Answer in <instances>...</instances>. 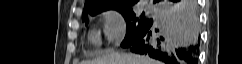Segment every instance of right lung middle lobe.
<instances>
[{"mask_svg": "<svg viewBox=\"0 0 242 64\" xmlns=\"http://www.w3.org/2000/svg\"><path fill=\"white\" fill-rule=\"evenodd\" d=\"M117 11H119L123 15L124 19L127 22L126 36L121 44V46L124 48L153 23V19L145 17L144 12L140 16H136L131 8L121 9ZM97 13L82 15V22L88 20V16H94Z\"/></svg>", "mask_w": 242, "mask_h": 64, "instance_id": "right-lung-middle-lobe-1", "label": "right lung middle lobe"}]
</instances>
